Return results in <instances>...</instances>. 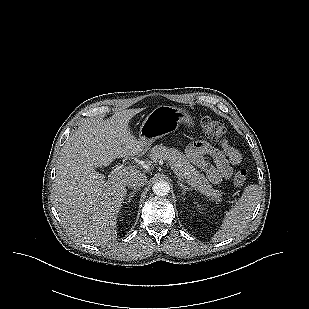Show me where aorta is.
<instances>
[{
	"label": "aorta",
	"mask_w": 309,
	"mask_h": 309,
	"mask_svg": "<svg viewBox=\"0 0 309 309\" xmlns=\"http://www.w3.org/2000/svg\"><path fill=\"white\" fill-rule=\"evenodd\" d=\"M152 190L157 196H165L168 195L170 191V186L165 181H157L153 185Z\"/></svg>",
	"instance_id": "1"
}]
</instances>
